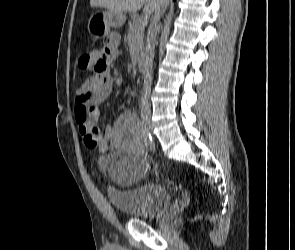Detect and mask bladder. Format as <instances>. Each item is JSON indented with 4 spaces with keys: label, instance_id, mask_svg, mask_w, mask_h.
I'll return each mask as SVG.
<instances>
[{
    "label": "bladder",
    "instance_id": "bladder-1",
    "mask_svg": "<svg viewBox=\"0 0 295 250\" xmlns=\"http://www.w3.org/2000/svg\"><path fill=\"white\" fill-rule=\"evenodd\" d=\"M116 159L105 154L100 157L102 168L107 172L116 166ZM111 178V175H109ZM113 180V179H112ZM107 195L111 204L131 218L153 220L161 217L169 208L170 194L157 182H144L136 186L108 185Z\"/></svg>",
    "mask_w": 295,
    "mask_h": 250
}]
</instances>
